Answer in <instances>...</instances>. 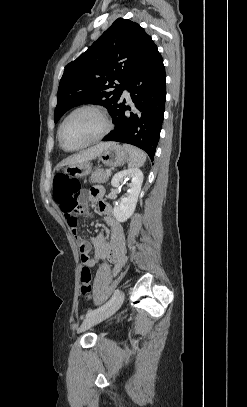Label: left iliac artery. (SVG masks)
I'll list each match as a JSON object with an SVG mask.
<instances>
[{
  "label": "left iliac artery",
  "mask_w": 247,
  "mask_h": 407,
  "mask_svg": "<svg viewBox=\"0 0 247 407\" xmlns=\"http://www.w3.org/2000/svg\"><path fill=\"white\" fill-rule=\"evenodd\" d=\"M119 294H120V291L118 289L115 290L113 296L111 297V299L106 304H104L103 306H101V307H99L97 309L88 311L87 314H86V318L91 317L93 315H96V314L106 310L108 307L111 306V304L114 302V300L118 297Z\"/></svg>",
  "instance_id": "obj_1"
}]
</instances>
